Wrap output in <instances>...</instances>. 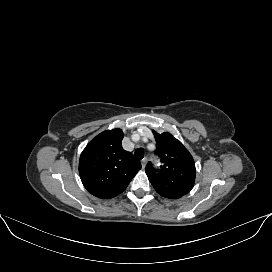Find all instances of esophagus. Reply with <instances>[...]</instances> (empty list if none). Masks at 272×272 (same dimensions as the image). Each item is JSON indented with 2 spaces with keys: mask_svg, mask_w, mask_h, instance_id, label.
Segmentation results:
<instances>
[{
  "mask_svg": "<svg viewBox=\"0 0 272 272\" xmlns=\"http://www.w3.org/2000/svg\"><path fill=\"white\" fill-rule=\"evenodd\" d=\"M146 163H147V159L146 158H144V159L141 160V164H142V168L143 169L145 168Z\"/></svg>",
  "mask_w": 272,
  "mask_h": 272,
  "instance_id": "34e87169",
  "label": "esophagus"
}]
</instances>
